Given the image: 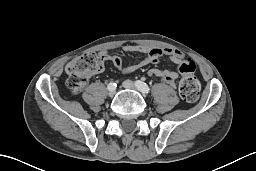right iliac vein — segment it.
Masks as SVG:
<instances>
[{
  "instance_id": "63e3f726",
  "label": "right iliac vein",
  "mask_w": 256,
  "mask_h": 171,
  "mask_svg": "<svg viewBox=\"0 0 256 171\" xmlns=\"http://www.w3.org/2000/svg\"><path fill=\"white\" fill-rule=\"evenodd\" d=\"M116 94V90L115 89H110L108 92V96L109 97H113Z\"/></svg>"
}]
</instances>
